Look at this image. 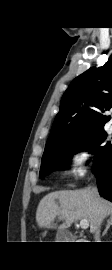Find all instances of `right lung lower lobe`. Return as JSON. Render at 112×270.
Returning <instances> with one entry per match:
<instances>
[{"instance_id":"1","label":"right lung lower lobe","mask_w":112,"mask_h":270,"mask_svg":"<svg viewBox=\"0 0 112 270\" xmlns=\"http://www.w3.org/2000/svg\"><path fill=\"white\" fill-rule=\"evenodd\" d=\"M93 172L97 177L100 195L112 202V149L107 153L102 165Z\"/></svg>"}]
</instances>
